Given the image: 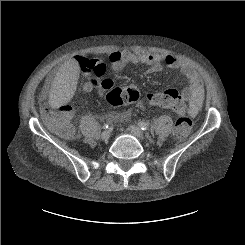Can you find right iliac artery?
<instances>
[{
  "label": "right iliac artery",
  "instance_id": "1",
  "mask_svg": "<svg viewBox=\"0 0 245 245\" xmlns=\"http://www.w3.org/2000/svg\"><path fill=\"white\" fill-rule=\"evenodd\" d=\"M103 128H104V129H108V128H110V126H109V124H104V125H103Z\"/></svg>",
  "mask_w": 245,
  "mask_h": 245
}]
</instances>
